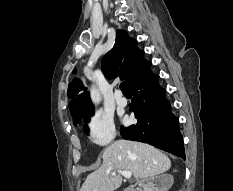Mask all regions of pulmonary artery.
<instances>
[{"label": "pulmonary artery", "mask_w": 233, "mask_h": 191, "mask_svg": "<svg viewBox=\"0 0 233 191\" xmlns=\"http://www.w3.org/2000/svg\"><path fill=\"white\" fill-rule=\"evenodd\" d=\"M115 98L118 106L125 107L127 105V99L123 96L120 90H116Z\"/></svg>", "instance_id": "pulmonary-artery-1"}]
</instances>
